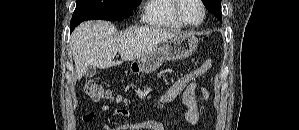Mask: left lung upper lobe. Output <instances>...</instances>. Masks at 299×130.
<instances>
[{
	"mask_svg": "<svg viewBox=\"0 0 299 130\" xmlns=\"http://www.w3.org/2000/svg\"><path fill=\"white\" fill-rule=\"evenodd\" d=\"M206 8L213 13L216 18L222 21L220 0H202Z\"/></svg>",
	"mask_w": 299,
	"mask_h": 130,
	"instance_id": "1",
	"label": "left lung upper lobe"
}]
</instances>
